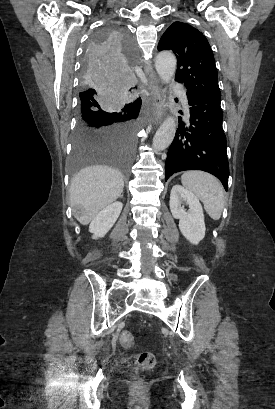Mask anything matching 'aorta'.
Returning a JSON list of instances; mask_svg holds the SVG:
<instances>
[{
    "label": "aorta",
    "mask_w": 275,
    "mask_h": 409,
    "mask_svg": "<svg viewBox=\"0 0 275 409\" xmlns=\"http://www.w3.org/2000/svg\"><path fill=\"white\" fill-rule=\"evenodd\" d=\"M155 68L162 80L169 82L176 70V56L170 50L159 52L155 58ZM176 132V122L174 116H168L156 130L152 142L156 150H165L171 144Z\"/></svg>",
    "instance_id": "1"
}]
</instances>
